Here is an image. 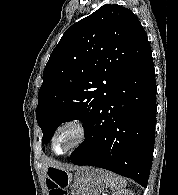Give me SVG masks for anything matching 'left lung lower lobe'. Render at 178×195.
Segmentation results:
<instances>
[{
  "label": "left lung lower lobe",
  "instance_id": "0a47b994",
  "mask_svg": "<svg viewBox=\"0 0 178 195\" xmlns=\"http://www.w3.org/2000/svg\"><path fill=\"white\" fill-rule=\"evenodd\" d=\"M156 82L150 52L113 87L70 155L75 165L113 171L147 186L154 151Z\"/></svg>",
  "mask_w": 178,
  "mask_h": 195
}]
</instances>
